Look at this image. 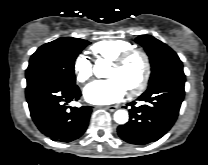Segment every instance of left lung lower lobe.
I'll list each match as a JSON object with an SVG mask.
<instances>
[{
    "mask_svg": "<svg viewBox=\"0 0 208 165\" xmlns=\"http://www.w3.org/2000/svg\"><path fill=\"white\" fill-rule=\"evenodd\" d=\"M185 76L176 75L163 78L138 98L145 102L136 107L131 102L130 119L117 129L119 136L126 142L145 145L164 136L175 123L184 98Z\"/></svg>",
    "mask_w": 208,
    "mask_h": 165,
    "instance_id": "0a47b994",
    "label": "left lung lower lobe"
}]
</instances>
